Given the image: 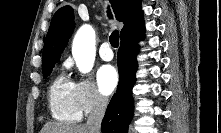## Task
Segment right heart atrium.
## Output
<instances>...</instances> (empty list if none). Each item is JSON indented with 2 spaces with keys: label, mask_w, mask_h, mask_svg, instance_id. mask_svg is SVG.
Returning <instances> with one entry per match:
<instances>
[{
  "label": "right heart atrium",
  "mask_w": 221,
  "mask_h": 133,
  "mask_svg": "<svg viewBox=\"0 0 221 133\" xmlns=\"http://www.w3.org/2000/svg\"><path fill=\"white\" fill-rule=\"evenodd\" d=\"M75 87L78 105L83 114L89 115L104 109L107 100L97 91L89 78H80Z\"/></svg>",
  "instance_id": "right-heart-atrium-1"
}]
</instances>
